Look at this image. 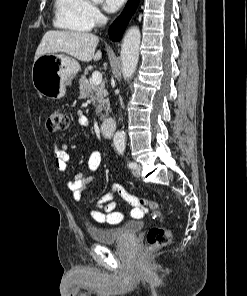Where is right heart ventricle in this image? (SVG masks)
I'll use <instances>...</instances> for the list:
<instances>
[{
	"label": "right heart ventricle",
	"mask_w": 247,
	"mask_h": 296,
	"mask_svg": "<svg viewBox=\"0 0 247 296\" xmlns=\"http://www.w3.org/2000/svg\"><path fill=\"white\" fill-rule=\"evenodd\" d=\"M87 0H55L54 25L75 32H87L92 28L87 18Z\"/></svg>",
	"instance_id": "right-heart-ventricle-1"
}]
</instances>
